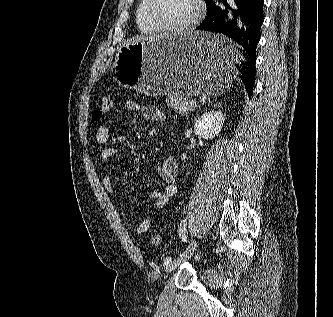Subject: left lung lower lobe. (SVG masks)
I'll return each instance as SVG.
<instances>
[{"label":"left lung lower lobe","mask_w":333,"mask_h":317,"mask_svg":"<svg viewBox=\"0 0 333 317\" xmlns=\"http://www.w3.org/2000/svg\"><path fill=\"white\" fill-rule=\"evenodd\" d=\"M218 1L226 7H219L212 0L208 4L207 15L197 30L224 34L243 47L241 54L229 46L211 48L208 51L236 67V73L250 98L255 80L256 47L264 21V0H231L230 3L226 0Z\"/></svg>","instance_id":"obj_1"}]
</instances>
